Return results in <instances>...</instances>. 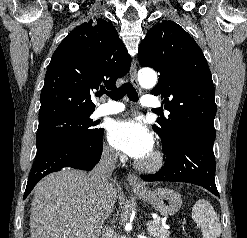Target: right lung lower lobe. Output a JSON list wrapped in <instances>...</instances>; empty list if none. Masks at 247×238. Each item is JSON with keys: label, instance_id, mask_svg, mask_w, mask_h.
<instances>
[{"label": "right lung lower lobe", "instance_id": "obj_1", "mask_svg": "<svg viewBox=\"0 0 247 238\" xmlns=\"http://www.w3.org/2000/svg\"><path fill=\"white\" fill-rule=\"evenodd\" d=\"M103 134L104 129L101 134L89 144L65 142L48 147L37 153L28 178L24 199L29 195L39 180L52 172L60 171L63 168L92 169L101 158Z\"/></svg>", "mask_w": 247, "mask_h": 238}]
</instances>
